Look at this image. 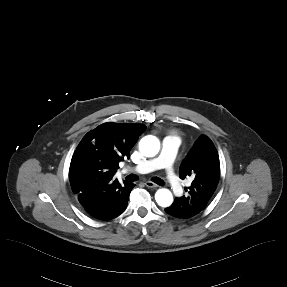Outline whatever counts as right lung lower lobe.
I'll return each mask as SVG.
<instances>
[{
  "label": "right lung lower lobe",
  "mask_w": 287,
  "mask_h": 287,
  "mask_svg": "<svg viewBox=\"0 0 287 287\" xmlns=\"http://www.w3.org/2000/svg\"><path fill=\"white\" fill-rule=\"evenodd\" d=\"M112 178H98L89 181L76 197L82 209L91 217L99 220H110L127 207L128 198L133 184L118 180L111 182Z\"/></svg>",
  "instance_id": "right-lung-lower-lobe-1"
}]
</instances>
